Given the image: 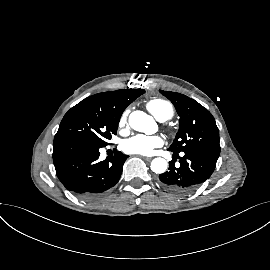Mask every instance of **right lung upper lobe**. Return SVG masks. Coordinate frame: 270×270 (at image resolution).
<instances>
[{
  "label": "right lung upper lobe",
  "mask_w": 270,
  "mask_h": 270,
  "mask_svg": "<svg viewBox=\"0 0 270 270\" xmlns=\"http://www.w3.org/2000/svg\"><path fill=\"white\" fill-rule=\"evenodd\" d=\"M143 93V89H125L95 94L88 99L97 106L121 116L126 107Z\"/></svg>",
  "instance_id": "right-lung-upper-lobe-1"
}]
</instances>
